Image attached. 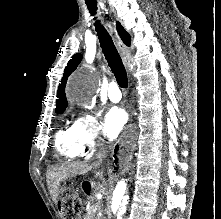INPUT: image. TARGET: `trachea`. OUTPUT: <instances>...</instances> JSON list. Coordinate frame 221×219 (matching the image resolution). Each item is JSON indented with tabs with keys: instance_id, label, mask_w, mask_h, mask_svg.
Returning a JSON list of instances; mask_svg holds the SVG:
<instances>
[{
	"instance_id": "3493384b",
	"label": "trachea",
	"mask_w": 221,
	"mask_h": 219,
	"mask_svg": "<svg viewBox=\"0 0 221 219\" xmlns=\"http://www.w3.org/2000/svg\"><path fill=\"white\" fill-rule=\"evenodd\" d=\"M86 4L89 12L91 13L92 16H94L97 11V4L95 2H90ZM94 20H96L95 17ZM94 25L97 35L99 37V41L104 56L113 74L115 75L119 86L121 88H127L128 87L127 73L123 65L122 59L113 43L112 38L110 37L107 30L104 28V26L100 23L99 20H96Z\"/></svg>"
}]
</instances>
